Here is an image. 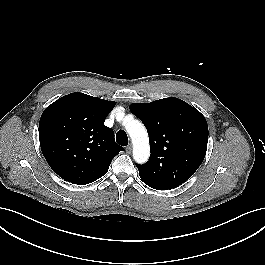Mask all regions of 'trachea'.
<instances>
[{
  "label": "trachea",
  "mask_w": 265,
  "mask_h": 265,
  "mask_svg": "<svg viewBox=\"0 0 265 265\" xmlns=\"http://www.w3.org/2000/svg\"><path fill=\"white\" fill-rule=\"evenodd\" d=\"M116 141L121 146L128 145V136H127V134L123 130L118 131L117 134H116Z\"/></svg>",
  "instance_id": "3493384b"
}]
</instances>
